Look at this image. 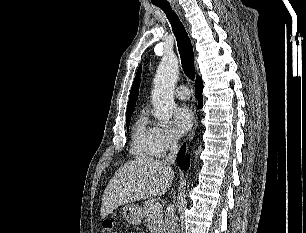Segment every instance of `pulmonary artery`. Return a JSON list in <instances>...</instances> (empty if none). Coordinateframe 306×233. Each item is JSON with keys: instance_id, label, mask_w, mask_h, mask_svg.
I'll return each mask as SVG.
<instances>
[{"instance_id": "1", "label": "pulmonary artery", "mask_w": 306, "mask_h": 233, "mask_svg": "<svg viewBox=\"0 0 306 233\" xmlns=\"http://www.w3.org/2000/svg\"><path fill=\"white\" fill-rule=\"evenodd\" d=\"M175 96L181 100H187L190 97V91L186 85H180L175 89Z\"/></svg>"}]
</instances>
